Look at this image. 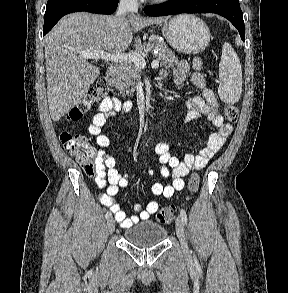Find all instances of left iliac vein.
<instances>
[{"label":"left iliac vein","mask_w":288,"mask_h":293,"mask_svg":"<svg viewBox=\"0 0 288 293\" xmlns=\"http://www.w3.org/2000/svg\"><path fill=\"white\" fill-rule=\"evenodd\" d=\"M176 233H177V236L180 240L183 253L186 256H188L189 249H188L187 242H186L184 224H183V221L180 217H177V219H176Z\"/></svg>","instance_id":"left-iliac-vein-1"}]
</instances>
